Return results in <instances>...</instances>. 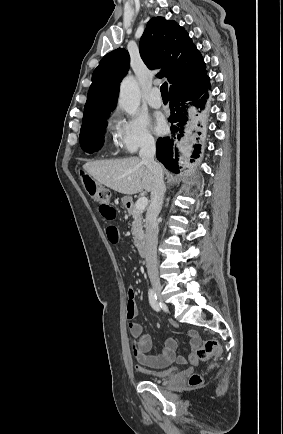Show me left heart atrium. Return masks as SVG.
I'll use <instances>...</instances> for the list:
<instances>
[{
    "mask_svg": "<svg viewBox=\"0 0 283 434\" xmlns=\"http://www.w3.org/2000/svg\"><path fill=\"white\" fill-rule=\"evenodd\" d=\"M165 122L162 117H158L154 124V129L157 133H162L165 130Z\"/></svg>",
    "mask_w": 283,
    "mask_h": 434,
    "instance_id": "1",
    "label": "left heart atrium"
}]
</instances>
